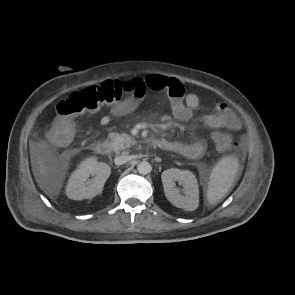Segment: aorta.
I'll list each match as a JSON object with an SVG mask.
<instances>
[{"mask_svg":"<svg viewBox=\"0 0 295 295\" xmlns=\"http://www.w3.org/2000/svg\"><path fill=\"white\" fill-rule=\"evenodd\" d=\"M137 170L140 174L146 175L151 171V165L147 161H142L138 164Z\"/></svg>","mask_w":295,"mask_h":295,"instance_id":"762f6f07","label":"aorta"}]
</instances>
